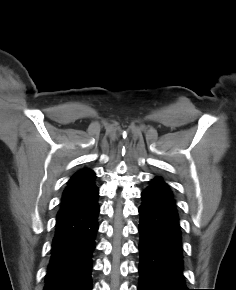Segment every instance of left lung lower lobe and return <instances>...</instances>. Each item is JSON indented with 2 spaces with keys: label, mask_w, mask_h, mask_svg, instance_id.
<instances>
[{
  "label": "left lung lower lobe",
  "mask_w": 236,
  "mask_h": 290,
  "mask_svg": "<svg viewBox=\"0 0 236 290\" xmlns=\"http://www.w3.org/2000/svg\"><path fill=\"white\" fill-rule=\"evenodd\" d=\"M142 200L138 290H189L183 277L181 231L172 192L156 177L142 192Z\"/></svg>",
  "instance_id": "obj_1"
}]
</instances>
